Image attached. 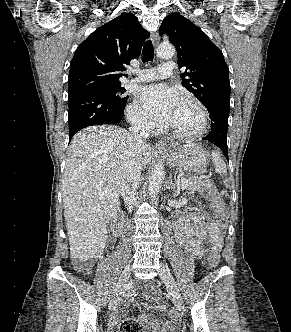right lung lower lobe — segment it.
Segmentation results:
<instances>
[{
    "label": "right lung lower lobe",
    "mask_w": 291,
    "mask_h": 332,
    "mask_svg": "<svg viewBox=\"0 0 291 332\" xmlns=\"http://www.w3.org/2000/svg\"><path fill=\"white\" fill-rule=\"evenodd\" d=\"M69 140L81 129L123 121L124 106H119L107 96L95 90H83L68 94Z\"/></svg>",
    "instance_id": "1"
}]
</instances>
